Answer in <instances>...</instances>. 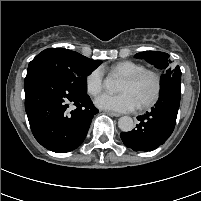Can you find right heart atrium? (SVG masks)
<instances>
[{
  "label": "right heart atrium",
  "instance_id": "d8ad5b80",
  "mask_svg": "<svg viewBox=\"0 0 201 201\" xmlns=\"http://www.w3.org/2000/svg\"><path fill=\"white\" fill-rule=\"evenodd\" d=\"M104 86V72L102 68L93 69L85 79V87L89 95L97 96Z\"/></svg>",
  "mask_w": 201,
  "mask_h": 201
}]
</instances>
